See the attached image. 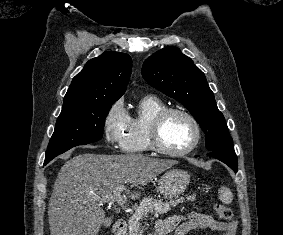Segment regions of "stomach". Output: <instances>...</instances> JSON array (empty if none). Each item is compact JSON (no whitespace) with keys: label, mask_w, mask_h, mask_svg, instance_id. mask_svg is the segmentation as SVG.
Instances as JSON below:
<instances>
[{"label":"stomach","mask_w":283,"mask_h":235,"mask_svg":"<svg viewBox=\"0 0 283 235\" xmlns=\"http://www.w3.org/2000/svg\"><path fill=\"white\" fill-rule=\"evenodd\" d=\"M190 183V175L180 169L166 171L158 180L159 192L168 198L182 194Z\"/></svg>","instance_id":"0dacf381"}]
</instances>
